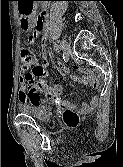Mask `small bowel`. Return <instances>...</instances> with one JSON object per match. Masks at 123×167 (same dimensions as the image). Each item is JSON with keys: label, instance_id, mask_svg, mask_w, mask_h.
<instances>
[{"label": "small bowel", "instance_id": "small-bowel-1", "mask_svg": "<svg viewBox=\"0 0 123 167\" xmlns=\"http://www.w3.org/2000/svg\"><path fill=\"white\" fill-rule=\"evenodd\" d=\"M17 5H19V14H23L21 15V19L23 20H20V24H22L24 28H30L33 24L31 19V14L33 11V1H17ZM41 33L42 28L34 31L28 37L27 42L29 44H33L35 42V38L39 36ZM48 65V58L46 55H43L41 64H39L35 69H33L32 72H21V88L19 90L20 101L27 104L50 102L62 108L78 109L80 112L83 113L90 112L96 107L98 103V97L96 95H94L89 101L81 102L78 107L72 102L61 98L60 86L51 87L43 80L44 76L46 75V68L48 67ZM60 70L64 74L69 73L68 68L64 65H60ZM70 79L74 83L90 86L96 91L100 89V83L91 73H85L83 77L71 75ZM26 83L30 85L29 88L26 87Z\"/></svg>", "mask_w": 123, "mask_h": 167}]
</instances>
